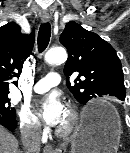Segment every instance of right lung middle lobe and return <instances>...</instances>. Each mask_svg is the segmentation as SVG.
<instances>
[{"label": "right lung middle lobe", "instance_id": "1", "mask_svg": "<svg viewBox=\"0 0 130 153\" xmlns=\"http://www.w3.org/2000/svg\"><path fill=\"white\" fill-rule=\"evenodd\" d=\"M8 94L9 92H0V112H3L8 116L15 117V108L10 106Z\"/></svg>", "mask_w": 130, "mask_h": 153}]
</instances>
